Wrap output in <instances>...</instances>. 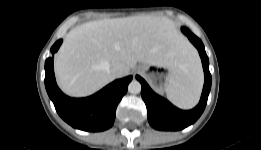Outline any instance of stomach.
Listing matches in <instances>:
<instances>
[{"label":"stomach","mask_w":261,"mask_h":150,"mask_svg":"<svg viewBox=\"0 0 261 150\" xmlns=\"http://www.w3.org/2000/svg\"><path fill=\"white\" fill-rule=\"evenodd\" d=\"M140 68L151 85L158 91L165 90L169 80L175 75V73L169 69L164 73L161 71V68L164 67L158 65L143 64Z\"/></svg>","instance_id":"1"}]
</instances>
